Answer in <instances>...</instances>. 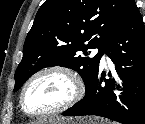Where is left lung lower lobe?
Listing matches in <instances>:
<instances>
[{
	"label": "left lung lower lobe",
	"instance_id": "left-lung-lower-lobe-1",
	"mask_svg": "<svg viewBox=\"0 0 145 124\" xmlns=\"http://www.w3.org/2000/svg\"><path fill=\"white\" fill-rule=\"evenodd\" d=\"M105 53L123 81V88L117 85L122 92L116 95L115 81L98 71L84 98L62 115H96L122 124H145V27L136 4Z\"/></svg>",
	"mask_w": 145,
	"mask_h": 124
}]
</instances>
